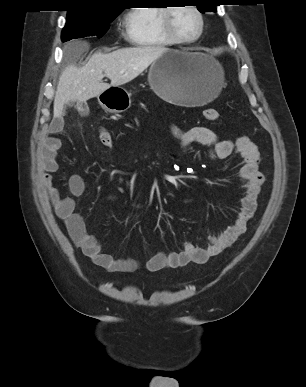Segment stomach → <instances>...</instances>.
I'll list each match as a JSON object with an SVG mask.
<instances>
[{
    "instance_id": "1",
    "label": "stomach",
    "mask_w": 306,
    "mask_h": 387,
    "mask_svg": "<svg viewBox=\"0 0 306 387\" xmlns=\"http://www.w3.org/2000/svg\"><path fill=\"white\" fill-rule=\"evenodd\" d=\"M148 81L154 92L175 108L204 105L220 93L224 71L211 56L186 50H168L150 66ZM110 113L127 110L130 94L122 87H110L98 96Z\"/></svg>"
}]
</instances>
